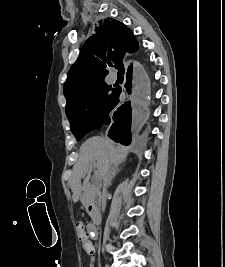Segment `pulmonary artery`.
<instances>
[{"label": "pulmonary artery", "mask_w": 225, "mask_h": 267, "mask_svg": "<svg viewBox=\"0 0 225 267\" xmlns=\"http://www.w3.org/2000/svg\"><path fill=\"white\" fill-rule=\"evenodd\" d=\"M116 80H117V77H116V75H113V76H112V81H114V82H115Z\"/></svg>", "instance_id": "obj_1"}]
</instances>
